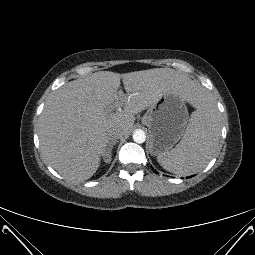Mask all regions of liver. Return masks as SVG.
Segmentation results:
<instances>
[{"mask_svg": "<svg viewBox=\"0 0 255 255\" xmlns=\"http://www.w3.org/2000/svg\"><path fill=\"white\" fill-rule=\"evenodd\" d=\"M123 82L127 96L119 92ZM177 90L198 106L205 89L187 75L170 68L118 74L99 71L64 84L45 103L39 120V141L46 161L60 175L83 182L97 171L109 145L110 129L128 135L135 114ZM123 109L112 112L110 107Z\"/></svg>", "mask_w": 255, "mask_h": 255, "instance_id": "6515ba94", "label": "liver"}]
</instances>
